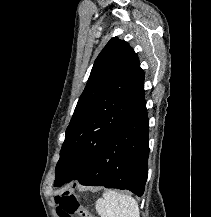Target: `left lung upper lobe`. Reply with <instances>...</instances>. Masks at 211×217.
<instances>
[{
    "instance_id": "left-lung-upper-lobe-1",
    "label": "left lung upper lobe",
    "mask_w": 211,
    "mask_h": 217,
    "mask_svg": "<svg viewBox=\"0 0 211 217\" xmlns=\"http://www.w3.org/2000/svg\"><path fill=\"white\" fill-rule=\"evenodd\" d=\"M144 94L137 54L127 42L112 38L95 60L66 129L54 186L75 179L111 133L146 104Z\"/></svg>"
}]
</instances>
